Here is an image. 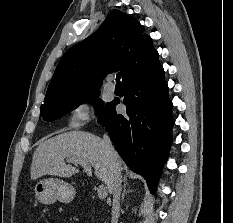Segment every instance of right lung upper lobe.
I'll return each instance as SVG.
<instances>
[{
  "mask_svg": "<svg viewBox=\"0 0 233 223\" xmlns=\"http://www.w3.org/2000/svg\"><path fill=\"white\" fill-rule=\"evenodd\" d=\"M158 57L143 26L131 15L114 10L94 34L66 51L42 106L100 88L113 71L119 70L124 82L159 63Z\"/></svg>",
  "mask_w": 233,
  "mask_h": 223,
  "instance_id": "obj_1",
  "label": "right lung upper lobe"
}]
</instances>
